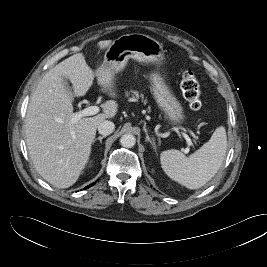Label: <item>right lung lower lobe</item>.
I'll use <instances>...</instances> for the list:
<instances>
[{"label": "right lung lower lobe", "mask_w": 267, "mask_h": 267, "mask_svg": "<svg viewBox=\"0 0 267 267\" xmlns=\"http://www.w3.org/2000/svg\"><path fill=\"white\" fill-rule=\"evenodd\" d=\"M94 184H95V183H92V184H90V185L86 186V187H85V189H87V188H89V187L93 186Z\"/></svg>", "instance_id": "1"}]
</instances>
